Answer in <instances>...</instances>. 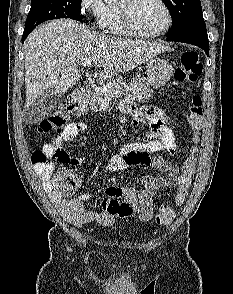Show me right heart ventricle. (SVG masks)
Listing matches in <instances>:
<instances>
[{
  "mask_svg": "<svg viewBox=\"0 0 233 294\" xmlns=\"http://www.w3.org/2000/svg\"><path fill=\"white\" fill-rule=\"evenodd\" d=\"M105 28L114 35H118V36L129 35L123 24L120 7L109 6L108 14L105 19Z\"/></svg>",
  "mask_w": 233,
  "mask_h": 294,
  "instance_id": "right-heart-ventricle-1",
  "label": "right heart ventricle"
}]
</instances>
